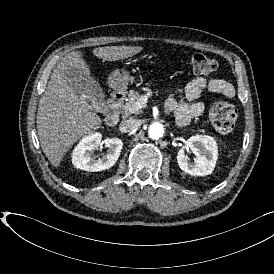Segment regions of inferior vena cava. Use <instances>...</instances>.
<instances>
[{
  "mask_svg": "<svg viewBox=\"0 0 274 274\" xmlns=\"http://www.w3.org/2000/svg\"><path fill=\"white\" fill-rule=\"evenodd\" d=\"M139 125H140V122L137 119L128 118L120 122L119 129L123 133L132 132L137 130Z\"/></svg>",
  "mask_w": 274,
  "mask_h": 274,
  "instance_id": "obj_1",
  "label": "inferior vena cava"
}]
</instances>
